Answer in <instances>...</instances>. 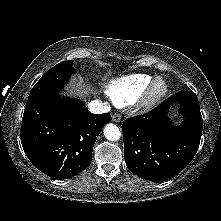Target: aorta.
<instances>
[{"instance_id": "762f6f07", "label": "aorta", "mask_w": 221, "mask_h": 221, "mask_svg": "<svg viewBox=\"0 0 221 221\" xmlns=\"http://www.w3.org/2000/svg\"><path fill=\"white\" fill-rule=\"evenodd\" d=\"M103 132H104V136L109 141H117L121 137V131L113 123L106 124L105 127H104Z\"/></svg>"}]
</instances>
